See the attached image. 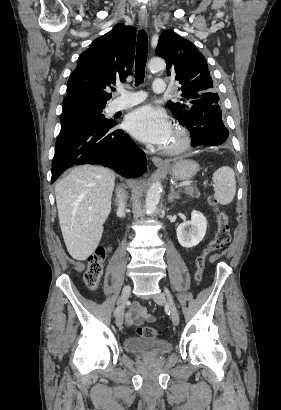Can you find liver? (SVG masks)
<instances>
[{
	"mask_svg": "<svg viewBox=\"0 0 281 410\" xmlns=\"http://www.w3.org/2000/svg\"><path fill=\"white\" fill-rule=\"evenodd\" d=\"M114 182L111 170L82 165L56 183L59 224L73 259L83 261L97 248L111 212Z\"/></svg>",
	"mask_w": 281,
	"mask_h": 410,
	"instance_id": "obj_1",
	"label": "liver"
}]
</instances>
